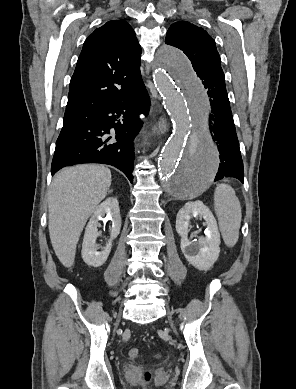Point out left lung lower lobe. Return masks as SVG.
Wrapping results in <instances>:
<instances>
[{"label": "left lung lower lobe", "instance_id": "left-lung-lower-lobe-1", "mask_svg": "<svg viewBox=\"0 0 296 389\" xmlns=\"http://www.w3.org/2000/svg\"><path fill=\"white\" fill-rule=\"evenodd\" d=\"M200 78L210 97L208 127L213 140L217 142L220 154V166L214 181L223 177H234L243 183V161L225 87L224 73L215 76L202 75ZM190 99L192 101V97ZM187 174L186 164L182 176L186 177Z\"/></svg>", "mask_w": 296, "mask_h": 389}]
</instances>
